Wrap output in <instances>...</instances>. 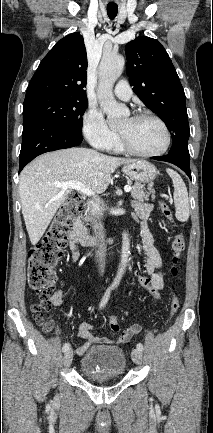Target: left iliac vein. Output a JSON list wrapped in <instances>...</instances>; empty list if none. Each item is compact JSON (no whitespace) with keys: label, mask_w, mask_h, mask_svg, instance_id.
<instances>
[{"label":"left iliac vein","mask_w":213,"mask_h":433,"mask_svg":"<svg viewBox=\"0 0 213 433\" xmlns=\"http://www.w3.org/2000/svg\"><path fill=\"white\" fill-rule=\"evenodd\" d=\"M132 360L134 363L136 364H141L142 363V359H143V354L142 351L138 350V349H134L132 351Z\"/></svg>","instance_id":"left-iliac-vein-1"}]
</instances>
